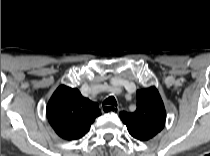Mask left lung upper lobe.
<instances>
[{
  "instance_id": "5c2ea615",
  "label": "left lung upper lobe",
  "mask_w": 210,
  "mask_h": 156,
  "mask_svg": "<svg viewBox=\"0 0 210 156\" xmlns=\"http://www.w3.org/2000/svg\"><path fill=\"white\" fill-rule=\"evenodd\" d=\"M136 96V111L133 113L121 112L119 115L134 138L147 141L164 128L166 112L155 87L138 90Z\"/></svg>"
}]
</instances>
